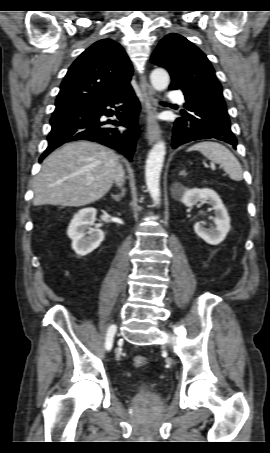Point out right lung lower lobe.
Segmentation results:
<instances>
[{"label": "right lung lower lobe", "instance_id": "1", "mask_svg": "<svg viewBox=\"0 0 270 453\" xmlns=\"http://www.w3.org/2000/svg\"><path fill=\"white\" fill-rule=\"evenodd\" d=\"M139 110L140 104L131 85L101 100L56 106L50 120L52 129L47 138L48 147L40 162L55 148L75 140L101 143L131 160L139 135ZM103 115H115L119 121H101ZM108 124L124 126L127 130L119 131Z\"/></svg>", "mask_w": 270, "mask_h": 453}]
</instances>
